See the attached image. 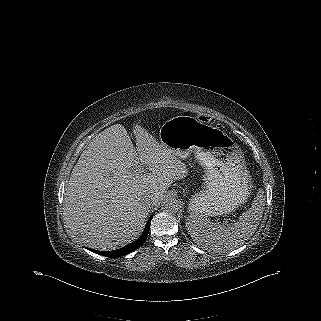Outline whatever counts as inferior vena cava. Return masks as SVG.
I'll use <instances>...</instances> for the list:
<instances>
[{
    "label": "inferior vena cava",
    "mask_w": 321,
    "mask_h": 321,
    "mask_svg": "<svg viewBox=\"0 0 321 321\" xmlns=\"http://www.w3.org/2000/svg\"><path fill=\"white\" fill-rule=\"evenodd\" d=\"M143 201H144V203H145L147 206L150 207V206H152L153 203H154V198L151 197V196H146Z\"/></svg>",
    "instance_id": "1"
}]
</instances>
